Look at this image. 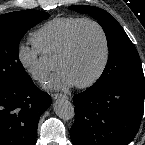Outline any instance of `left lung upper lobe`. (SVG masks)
I'll list each match as a JSON object with an SVG mask.
<instances>
[{
	"instance_id": "left-lung-upper-lobe-1",
	"label": "left lung upper lobe",
	"mask_w": 145,
	"mask_h": 145,
	"mask_svg": "<svg viewBox=\"0 0 145 145\" xmlns=\"http://www.w3.org/2000/svg\"><path fill=\"white\" fill-rule=\"evenodd\" d=\"M69 9L95 18L106 34L109 59L102 75L92 87L101 88L122 81L144 78L140 57L134 44L108 12L88 5H74Z\"/></svg>"
}]
</instances>
